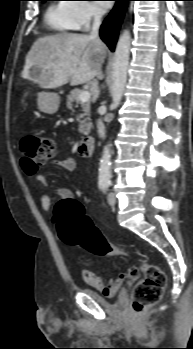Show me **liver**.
<instances>
[{
	"label": "liver",
	"instance_id": "liver-1",
	"mask_svg": "<svg viewBox=\"0 0 193 349\" xmlns=\"http://www.w3.org/2000/svg\"><path fill=\"white\" fill-rule=\"evenodd\" d=\"M106 46L85 34L59 33L37 39L28 52L22 78L53 89L70 82L72 86L102 78ZM39 75L31 74L32 68Z\"/></svg>",
	"mask_w": 193,
	"mask_h": 349
}]
</instances>
